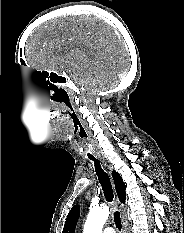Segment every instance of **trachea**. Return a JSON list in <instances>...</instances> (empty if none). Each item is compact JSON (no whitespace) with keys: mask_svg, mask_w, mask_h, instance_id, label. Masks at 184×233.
Returning a JSON list of instances; mask_svg holds the SVG:
<instances>
[{"mask_svg":"<svg viewBox=\"0 0 184 233\" xmlns=\"http://www.w3.org/2000/svg\"><path fill=\"white\" fill-rule=\"evenodd\" d=\"M79 137H80L81 143L83 145V149H84L86 156L94 162L96 174H97L98 180L102 186L106 200L108 202H112L113 198H114V194H113V189H112L110 178L101 168V165H100V162L98 161V159H96L94 157L93 151H92L90 145L88 144L89 136H88V133L85 130V128L80 127ZM114 222H115L116 227L119 230H121V228H122L121 217H120V213L118 211L114 212Z\"/></svg>","mask_w":184,"mask_h":233,"instance_id":"3493384b","label":"trachea"}]
</instances>
